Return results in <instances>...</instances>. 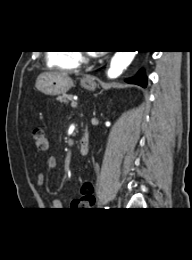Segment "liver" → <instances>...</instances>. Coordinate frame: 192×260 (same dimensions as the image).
<instances>
[{"instance_id":"6515ba94","label":"liver","mask_w":192,"mask_h":260,"mask_svg":"<svg viewBox=\"0 0 192 260\" xmlns=\"http://www.w3.org/2000/svg\"><path fill=\"white\" fill-rule=\"evenodd\" d=\"M61 74L67 75L66 73H63V72H62ZM67 76H68V75H67Z\"/></svg>"}]
</instances>
